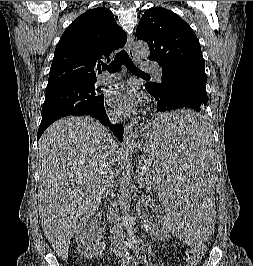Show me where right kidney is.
Returning <instances> with one entry per match:
<instances>
[{"label": "right kidney", "instance_id": "1", "mask_svg": "<svg viewBox=\"0 0 253 266\" xmlns=\"http://www.w3.org/2000/svg\"><path fill=\"white\" fill-rule=\"evenodd\" d=\"M102 229L97 221L91 219L86 221L77 229L76 242L79 253L86 258L101 256L105 249V241Z\"/></svg>", "mask_w": 253, "mask_h": 266}]
</instances>
